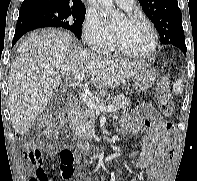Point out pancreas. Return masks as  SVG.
I'll return each mask as SVG.
<instances>
[{"label":"pancreas","mask_w":197,"mask_h":181,"mask_svg":"<svg viewBox=\"0 0 197 181\" xmlns=\"http://www.w3.org/2000/svg\"><path fill=\"white\" fill-rule=\"evenodd\" d=\"M102 92H97L98 97L102 96ZM116 107L117 109H126L130 105V100L123 94H119L113 97H109L104 103L99 104L100 106ZM71 129L75 136L79 139L88 141L91 140L95 133V113L89 109L78 111L70 119Z\"/></svg>","instance_id":"1"}]
</instances>
